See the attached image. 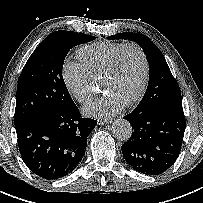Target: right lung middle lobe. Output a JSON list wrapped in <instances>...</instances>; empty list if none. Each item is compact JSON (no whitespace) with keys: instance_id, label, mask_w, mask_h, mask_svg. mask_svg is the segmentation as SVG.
I'll return each instance as SVG.
<instances>
[{"instance_id":"obj_1","label":"right lung middle lobe","mask_w":203,"mask_h":203,"mask_svg":"<svg viewBox=\"0 0 203 203\" xmlns=\"http://www.w3.org/2000/svg\"><path fill=\"white\" fill-rule=\"evenodd\" d=\"M94 36L56 31L47 36L27 60L17 86L14 124L33 116L73 104L62 76L69 50Z\"/></svg>"}]
</instances>
